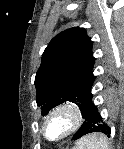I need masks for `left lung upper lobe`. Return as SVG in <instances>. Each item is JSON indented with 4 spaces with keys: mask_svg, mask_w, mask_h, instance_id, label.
I'll return each instance as SVG.
<instances>
[{
    "mask_svg": "<svg viewBox=\"0 0 124 149\" xmlns=\"http://www.w3.org/2000/svg\"><path fill=\"white\" fill-rule=\"evenodd\" d=\"M92 46L86 30L79 27L59 33L48 44L35 77L36 101L42 115L71 101L86 118L94 81Z\"/></svg>",
    "mask_w": 124,
    "mask_h": 149,
    "instance_id": "1",
    "label": "left lung upper lobe"
}]
</instances>
